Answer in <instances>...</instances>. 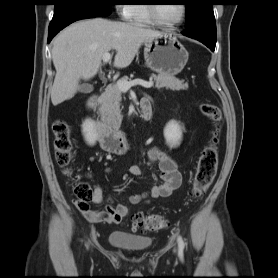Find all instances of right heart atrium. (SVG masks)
<instances>
[{
	"label": "right heart atrium",
	"instance_id": "1",
	"mask_svg": "<svg viewBox=\"0 0 278 278\" xmlns=\"http://www.w3.org/2000/svg\"><path fill=\"white\" fill-rule=\"evenodd\" d=\"M116 11L121 19L129 20L131 16V5L119 4L116 6Z\"/></svg>",
	"mask_w": 278,
	"mask_h": 278
}]
</instances>
